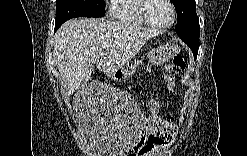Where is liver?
<instances>
[{
    "instance_id": "liver-1",
    "label": "liver",
    "mask_w": 247,
    "mask_h": 156,
    "mask_svg": "<svg viewBox=\"0 0 247 156\" xmlns=\"http://www.w3.org/2000/svg\"><path fill=\"white\" fill-rule=\"evenodd\" d=\"M159 30L110 19H71L54 37L61 83L74 92L91 78L94 64L111 75L122 69Z\"/></svg>"
}]
</instances>
